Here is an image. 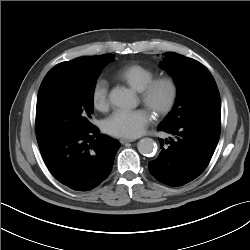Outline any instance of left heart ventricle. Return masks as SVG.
<instances>
[{"label":"left heart ventricle","instance_id":"left-heart-ventricle-1","mask_svg":"<svg viewBox=\"0 0 250 250\" xmlns=\"http://www.w3.org/2000/svg\"><path fill=\"white\" fill-rule=\"evenodd\" d=\"M167 89L166 88H160L154 95L153 100H152V106L149 107L150 110L153 111L155 107H158L162 105L166 99H167Z\"/></svg>","mask_w":250,"mask_h":250}]
</instances>
